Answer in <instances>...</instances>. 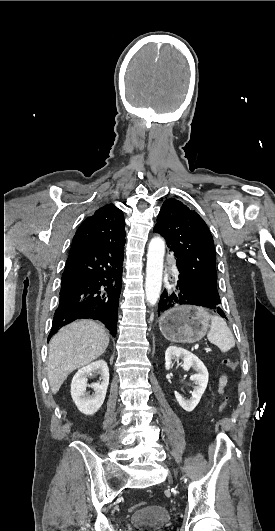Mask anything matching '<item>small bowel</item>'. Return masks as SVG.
<instances>
[{"instance_id":"c3829d8e","label":"small bowel","mask_w":275,"mask_h":531,"mask_svg":"<svg viewBox=\"0 0 275 531\" xmlns=\"http://www.w3.org/2000/svg\"><path fill=\"white\" fill-rule=\"evenodd\" d=\"M228 383V377L225 374H222L218 378V392L220 394L224 393V389L227 386Z\"/></svg>"}]
</instances>
